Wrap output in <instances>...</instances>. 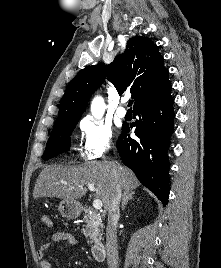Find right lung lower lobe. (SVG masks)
Segmentation results:
<instances>
[{"label": "right lung lower lobe", "mask_w": 221, "mask_h": 268, "mask_svg": "<svg viewBox=\"0 0 221 268\" xmlns=\"http://www.w3.org/2000/svg\"><path fill=\"white\" fill-rule=\"evenodd\" d=\"M139 116L135 127L136 139L130 138L128 125L122 126L117 149L125 165L131 168L139 181L166 205L169 197V158L171 136L174 132L173 98L171 91L138 106L133 110ZM126 134L128 137H126Z\"/></svg>", "instance_id": "1"}]
</instances>
